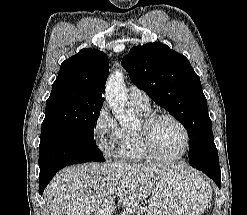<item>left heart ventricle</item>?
<instances>
[{
	"label": "left heart ventricle",
	"instance_id": "1",
	"mask_svg": "<svg viewBox=\"0 0 247 215\" xmlns=\"http://www.w3.org/2000/svg\"><path fill=\"white\" fill-rule=\"evenodd\" d=\"M152 137L156 150L162 155L177 156L184 149L183 131L169 119H162L155 124Z\"/></svg>",
	"mask_w": 247,
	"mask_h": 215
}]
</instances>
